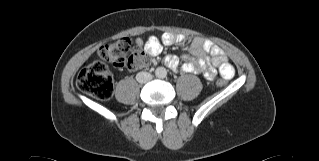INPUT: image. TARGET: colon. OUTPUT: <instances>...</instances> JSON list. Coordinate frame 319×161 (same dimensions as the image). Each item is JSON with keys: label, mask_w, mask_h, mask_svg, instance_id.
Wrapping results in <instances>:
<instances>
[{"label": "colon", "mask_w": 319, "mask_h": 161, "mask_svg": "<svg viewBox=\"0 0 319 161\" xmlns=\"http://www.w3.org/2000/svg\"><path fill=\"white\" fill-rule=\"evenodd\" d=\"M99 54L104 60L121 69L138 70L150 63L145 49L133 46L128 38H119L104 44ZM217 83L222 86L225 80L219 79ZM77 85L84 93L100 99L110 98L114 91L112 75L101 62L85 66L78 75Z\"/></svg>", "instance_id": "obj_1"}]
</instances>
